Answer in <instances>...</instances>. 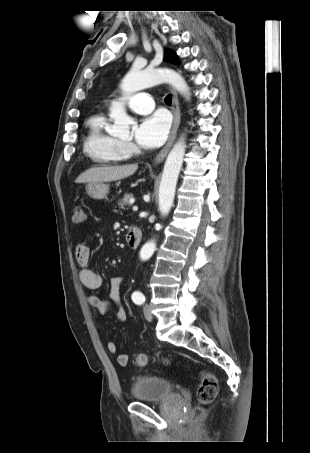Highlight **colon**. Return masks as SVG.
Returning a JSON list of instances; mask_svg holds the SVG:
<instances>
[{"mask_svg":"<svg viewBox=\"0 0 310 453\" xmlns=\"http://www.w3.org/2000/svg\"><path fill=\"white\" fill-rule=\"evenodd\" d=\"M85 220V212L81 205H76L73 209V221L75 223H81ZM148 355L140 352L135 357V365L143 367L148 363ZM218 393V380L217 378L209 373L202 372L199 377V385L197 388L196 396L199 406L196 407L192 412V420H198L203 414V405L210 404Z\"/></svg>","mask_w":310,"mask_h":453,"instance_id":"1","label":"colon"}]
</instances>
